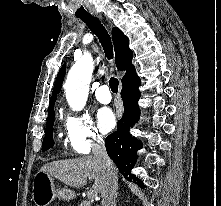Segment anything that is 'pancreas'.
Instances as JSON below:
<instances>
[{"instance_id": "pancreas-1", "label": "pancreas", "mask_w": 221, "mask_h": 206, "mask_svg": "<svg viewBox=\"0 0 221 206\" xmlns=\"http://www.w3.org/2000/svg\"><path fill=\"white\" fill-rule=\"evenodd\" d=\"M78 206H90V203L86 200H83Z\"/></svg>"}]
</instances>
